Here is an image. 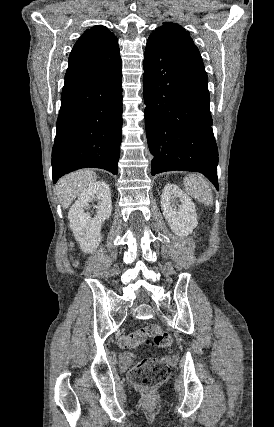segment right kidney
<instances>
[{"instance_id": "1", "label": "right kidney", "mask_w": 274, "mask_h": 427, "mask_svg": "<svg viewBox=\"0 0 274 427\" xmlns=\"http://www.w3.org/2000/svg\"><path fill=\"white\" fill-rule=\"evenodd\" d=\"M93 200H99V206H96L95 217L86 214ZM112 212L111 192L106 182H94L90 184L78 200L74 202L68 212L70 227L74 233L76 241H79L82 251L93 253L98 247L101 237V225L105 219L110 217Z\"/></svg>"}]
</instances>
